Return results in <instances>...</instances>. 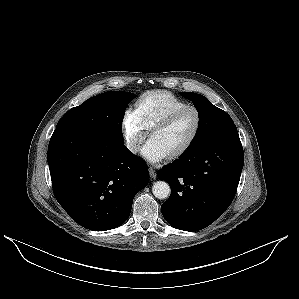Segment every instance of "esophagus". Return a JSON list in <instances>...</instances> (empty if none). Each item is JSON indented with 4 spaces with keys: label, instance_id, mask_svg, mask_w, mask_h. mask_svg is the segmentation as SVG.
I'll return each instance as SVG.
<instances>
[{
    "label": "esophagus",
    "instance_id": "34e87169",
    "mask_svg": "<svg viewBox=\"0 0 299 299\" xmlns=\"http://www.w3.org/2000/svg\"><path fill=\"white\" fill-rule=\"evenodd\" d=\"M148 171H149V175L151 178H156L157 174H156V171L154 170V168L149 167Z\"/></svg>",
    "mask_w": 299,
    "mask_h": 299
}]
</instances>
